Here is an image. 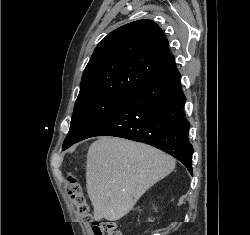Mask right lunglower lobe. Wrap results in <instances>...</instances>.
Masks as SVG:
<instances>
[{
	"mask_svg": "<svg viewBox=\"0 0 250 235\" xmlns=\"http://www.w3.org/2000/svg\"><path fill=\"white\" fill-rule=\"evenodd\" d=\"M180 77L173 59L167 69L77 142L94 136H115L143 142L169 153L192 174L193 146L188 140L189 122L184 114L186 98Z\"/></svg>",
	"mask_w": 250,
	"mask_h": 235,
	"instance_id": "right-lung-lower-lobe-1",
	"label": "right lung lower lobe"
}]
</instances>
